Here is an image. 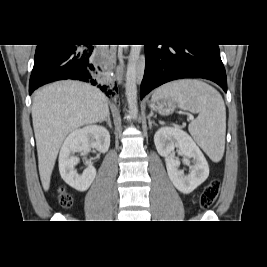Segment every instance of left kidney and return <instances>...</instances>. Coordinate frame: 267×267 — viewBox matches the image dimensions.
<instances>
[{"mask_svg": "<svg viewBox=\"0 0 267 267\" xmlns=\"http://www.w3.org/2000/svg\"><path fill=\"white\" fill-rule=\"evenodd\" d=\"M154 143L158 153L165 157L171 182L180 192L189 194L208 178L209 166L206 158L193 139L183 130L162 127L155 133ZM175 148L184 156V164L190 165V159H193L191 171L187 175L179 170L180 161L175 157Z\"/></svg>", "mask_w": 267, "mask_h": 267, "instance_id": "1", "label": "left kidney"}]
</instances>
